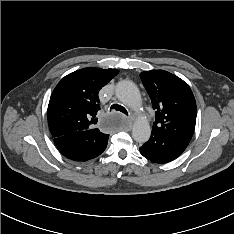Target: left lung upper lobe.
<instances>
[{
  "label": "left lung upper lobe",
  "mask_w": 234,
  "mask_h": 234,
  "mask_svg": "<svg viewBox=\"0 0 234 234\" xmlns=\"http://www.w3.org/2000/svg\"><path fill=\"white\" fill-rule=\"evenodd\" d=\"M140 78L156 111L152 132L168 137L185 150L194 133L197 113L190 87L164 70L144 71Z\"/></svg>",
  "instance_id": "5c2ea615"
}]
</instances>
